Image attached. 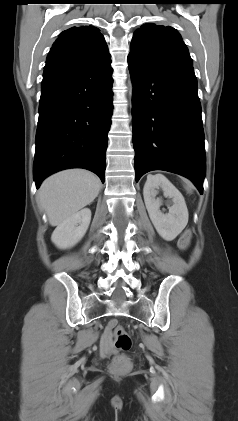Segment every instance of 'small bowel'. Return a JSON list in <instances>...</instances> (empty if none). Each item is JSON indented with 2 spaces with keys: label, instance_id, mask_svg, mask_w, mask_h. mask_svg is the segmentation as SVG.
<instances>
[{
  "label": "small bowel",
  "instance_id": "c3829d8e",
  "mask_svg": "<svg viewBox=\"0 0 238 421\" xmlns=\"http://www.w3.org/2000/svg\"><path fill=\"white\" fill-rule=\"evenodd\" d=\"M111 343H112V338L109 335V332L107 330V332L104 334L101 340V347L105 353H109L111 351Z\"/></svg>",
  "mask_w": 238,
  "mask_h": 421
}]
</instances>
